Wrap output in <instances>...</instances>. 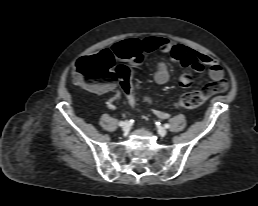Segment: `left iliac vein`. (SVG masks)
<instances>
[{"label": "left iliac vein", "instance_id": "left-iliac-vein-1", "mask_svg": "<svg viewBox=\"0 0 258 206\" xmlns=\"http://www.w3.org/2000/svg\"><path fill=\"white\" fill-rule=\"evenodd\" d=\"M158 133H159V135H161V136H165L166 133H167V131H166V129H165L164 127H159V128H158Z\"/></svg>", "mask_w": 258, "mask_h": 206}]
</instances>
